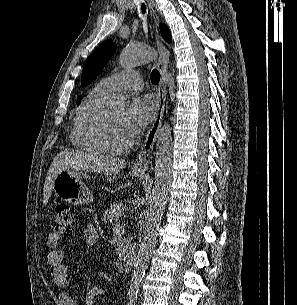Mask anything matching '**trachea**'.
<instances>
[{"instance_id": "3493384b", "label": "trachea", "mask_w": 297, "mask_h": 305, "mask_svg": "<svg viewBox=\"0 0 297 305\" xmlns=\"http://www.w3.org/2000/svg\"><path fill=\"white\" fill-rule=\"evenodd\" d=\"M141 9L143 10V12L145 11L146 9V6L143 4ZM160 81V73L154 69L151 73V82L155 85H157Z\"/></svg>"}]
</instances>
